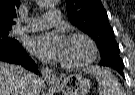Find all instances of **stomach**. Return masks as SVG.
<instances>
[{
    "instance_id": "1",
    "label": "stomach",
    "mask_w": 135,
    "mask_h": 95,
    "mask_svg": "<svg viewBox=\"0 0 135 95\" xmlns=\"http://www.w3.org/2000/svg\"><path fill=\"white\" fill-rule=\"evenodd\" d=\"M63 95H87L91 84L89 79L80 74H71L57 84H51Z\"/></svg>"
}]
</instances>
